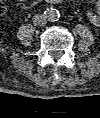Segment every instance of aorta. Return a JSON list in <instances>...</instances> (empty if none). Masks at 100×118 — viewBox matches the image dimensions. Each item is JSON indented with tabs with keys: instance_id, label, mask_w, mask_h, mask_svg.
I'll use <instances>...</instances> for the list:
<instances>
[{
	"instance_id": "1",
	"label": "aorta",
	"mask_w": 100,
	"mask_h": 118,
	"mask_svg": "<svg viewBox=\"0 0 100 118\" xmlns=\"http://www.w3.org/2000/svg\"><path fill=\"white\" fill-rule=\"evenodd\" d=\"M45 16L48 21L55 22L60 18V12L55 8H48L45 11Z\"/></svg>"
}]
</instances>
